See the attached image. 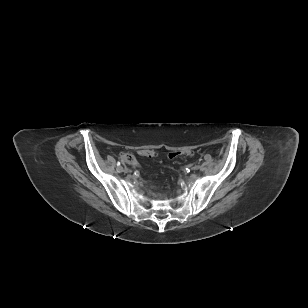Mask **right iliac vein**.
Wrapping results in <instances>:
<instances>
[{
	"instance_id": "right-iliac-vein-1",
	"label": "right iliac vein",
	"mask_w": 308,
	"mask_h": 308,
	"mask_svg": "<svg viewBox=\"0 0 308 308\" xmlns=\"http://www.w3.org/2000/svg\"><path fill=\"white\" fill-rule=\"evenodd\" d=\"M121 172H125V173H128L129 172V170L127 169V168H122V171Z\"/></svg>"
}]
</instances>
